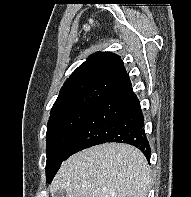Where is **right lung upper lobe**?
<instances>
[{
  "label": "right lung upper lobe",
  "instance_id": "cb5924a9",
  "mask_svg": "<svg viewBox=\"0 0 191 197\" xmlns=\"http://www.w3.org/2000/svg\"><path fill=\"white\" fill-rule=\"evenodd\" d=\"M130 81L120 56L98 52L83 62L66 80L50 115L94 106L114 88Z\"/></svg>",
  "mask_w": 191,
  "mask_h": 197
}]
</instances>
